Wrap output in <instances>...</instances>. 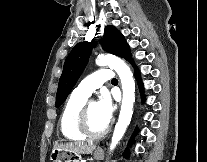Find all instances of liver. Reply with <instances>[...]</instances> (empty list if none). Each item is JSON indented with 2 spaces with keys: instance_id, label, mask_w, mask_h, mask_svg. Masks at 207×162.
Wrapping results in <instances>:
<instances>
[{
  "instance_id": "1",
  "label": "liver",
  "mask_w": 207,
  "mask_h": 162,
  "mask_svg": "<svg viewBox=\"0 0 207 162\" xmlns=\"http://www.w3.org/2000/svg\"><path fill=\"white\" fill-rule=\"evenodd\" d=\"M96 148V144L84 142H68L54 145L53 149L69 151L75 155L90 154Z\"/></svg>"
}]
</instances>
